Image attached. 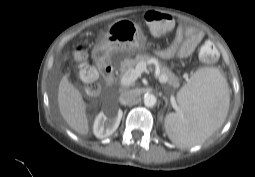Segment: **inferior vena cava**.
Masks as SVG:
<instances>
[{
    "label": "inferior vena cava",
    "mask_w": 255,
    "mask_h": 177,
    "mask_svg": "<svg viewBox=\"0 0 255 177\" xmlns=\"http://www.w3.org/2000/svg\"><path fill=\"white\" fill-rule=\"evenodd\" d=\"M138 96L139 94L136 90H128L120 95L119 101L122 105H130L138 98Z\"/></svg>",
    "instance_id": "obj_1"
}]
</instances>
